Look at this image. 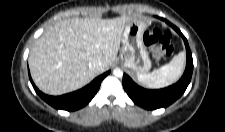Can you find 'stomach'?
I'll use <instances>...</instances> for the list:
<instances>
[{"mask_svg": "<svg viewBox=\"0 0 225 132\" xmlns=\"http://www.w3.org/2000/svg\"><path fill=\"white\" fill-rule=\"evenodd\" d=\"M146 23L139 18H132L122 35L121 63L136 74H146L151 68V61L144 43Z\"/></svg>", "mask_w": 225, "mask_h": 132, "instance_id": "stomach-1", "label": "stomach"}]
</instances>
